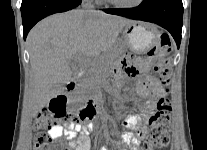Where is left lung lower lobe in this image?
<instances>
[{"mask_svg": "<svg viewBox=\"0 0 207 150\" xmlns=\"http://www.w3.org/2000/svg\"><path fill=\"white\" fill-rule=\"evenodd\" d=\"M106 13L155 23L167 29L179 48L181 42L182 0H143L135 8L104 9Z\"/></svg>", "mask_w": 207, "mask_h": 150, "instance_id": "left-lung-lower-lobe-1", "label": "left lung lower lobe"}]
</instances>
